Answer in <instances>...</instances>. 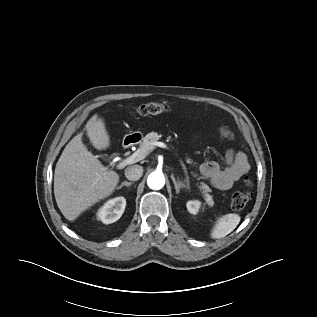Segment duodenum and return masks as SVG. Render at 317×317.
I'll return each instance as SVG.
<instances>
[{"instance_id":"duodenum-1","label":"duodenum","mask_w":317,"mask_h":317,"mask_svg":"<svg viewBox=\"0 0 317 317\" xmlns=\"http://www.w3.org/2000/svg\"><path fill=\"white\" fill-rule=\"evenodd\" d=\"M139 139H140V136L137 134L127 136L123 141V147L125 149L130 148L133 145H135L139 141Z\"/></svg>"}]
</instances>
